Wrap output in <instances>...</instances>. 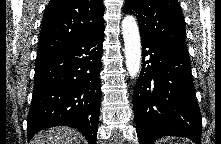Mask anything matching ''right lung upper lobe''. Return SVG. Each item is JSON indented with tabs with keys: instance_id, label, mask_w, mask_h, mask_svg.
Segmentation results:
<instances>
[{
	"instance_id": "right-lung-upper-lobe-1",
	"label": "right lung upper lobe",
	"mask_w": 221,
	"mask_h": 144,
	"mask_svg": "<svg viewBox=\"0 0 221 144\" xmlns=\"http://www.w3.org/2000/svg\"><path fill=\"white\" fill-rule=\"evenodd\" d=\"M102 0H51L44 13L37 57L104 29Z\"/></svg>"
}]
</instances>
